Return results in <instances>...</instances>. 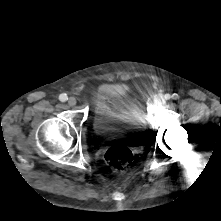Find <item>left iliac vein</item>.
Here are the masks:
<instances>
[{"label": "left iliac vein", "instance_id": "obj_1", "mask_svg": "<svg viewBox=\"0 0 221 221\" xmlns=\"http://www.w3.org/2000/svg\"><path fill=\"white\" fill-rule=\"evenodd\" d=\"M165 99H166V98H160V99H159V104H164V103H165Z\"/></svg>", "mask_w": 221, "mask_h": 221}]
</instances>
